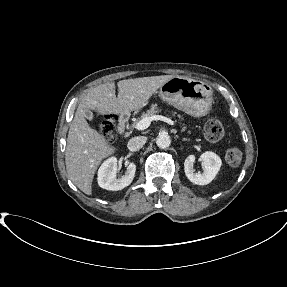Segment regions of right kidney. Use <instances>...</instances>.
Listing matches in <instances>:
<instances>
[{
    "label": "right kidney",
    "mask_w": 287,
    "mask_h": 287,
    "mask_svg": "<svg viewBox=\"0 0 287 287\" xmlns=\"http://www.w3.org/2000/svg\"><path fill=\"white\" fill-rule=\"evenodd\" d=\"M117 159L110 157L102 163L98 170V185L106 190L117 191L131 184L136 171V165L129 163L124 176L117 178Z\"/></svg>",
    "instance_id": "1"
}]
</instances>
